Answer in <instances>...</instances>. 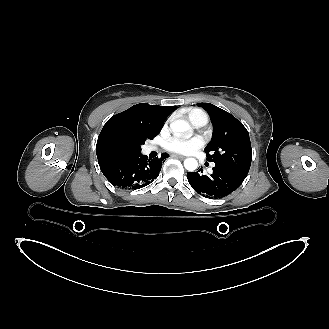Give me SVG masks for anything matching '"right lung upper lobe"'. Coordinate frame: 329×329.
Segmentation results:
<instances>
[{
  "label": "right lung upper lobe",
  "instance_id": "right-lung-upper-lobe-1",
  "mask_svg": "<svg viewBox=\"0 0 329 329\" xmlns=\"http://www.w3.org/2000/svg\"><path fill=\"white\" fill-rule=\"evenodd\" d=\"M176 108L140 103L112 116L98 136V162L136 153L137 145L144 139H153Z\"/></svg>",
  "mask_w": 329,
  "mask_h": 329
}]
</instances>
